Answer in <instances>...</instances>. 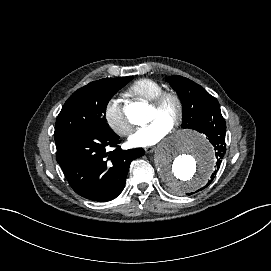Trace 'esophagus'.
<instances>
[{
    "label": "esophagus",
    "mask_w": 271,
    "mask_h": 271,
    "mask_svg": "<svg viewBox=\"0 0 271 271\" xmlns=\"http://www.w3.org/2000/svg\"><path fill=\"white\" fill-rule=\"evenodd\" d=\"M156 149L155 146H147L144 148L146 153H152Z\"/></svg>",
    "instance_id": "34e87169"
}]
</instances>
